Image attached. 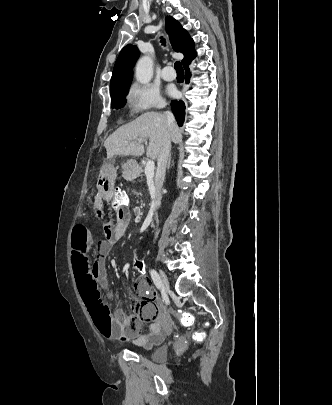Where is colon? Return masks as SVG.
Returning a JSON list of instances; mask_svg holds the SVG:
<instances>
[{
  "instance_id": "colon-1",
  "label": "colon",
  "mask_w": 332,
  "mask_h": 405,
  "mask_svg": "<svg viewBox=\"0 0 332 405\" xmlns=\"http://www.w3.org/2000/svg\"><path fill=\"white\" fill-rule=\"evenodd\" d=\"M112 191L114 195L113 198L111 199L112 203H110L109 205L110 212H124L125 208H128L130 204L128 196L126 194V190L123 189L122 184H112ZM132 266L136 270H140L141 273L147 272V267L145 266L144 258H133ZM180 322L183 324L184 328H191L193 324L192 323L193 317L189 314L184 313L180 317Z\"/></svg>"
}]
</instances>
